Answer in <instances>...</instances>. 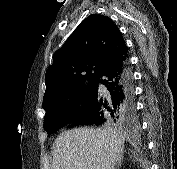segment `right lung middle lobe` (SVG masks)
<instances>
[{
  "label": "right lung middle lobe",
  "mask_w": 177,
  "mask_h": 169,
  "mask_svg": "<svg viewBox=\"0 0 177 169\" xmlns=\"http://www.w3.org/2000/svg\"><path fill=\"white\" fill-rule=\"evenodd\" d=\"M95 94L93 81L73 90L63 100L43 107L46 111L44 129L50 134L73 121L92 105Z\"/></svg>",
  "instance_id": "dd1d6c3e"
}]
</instances>
